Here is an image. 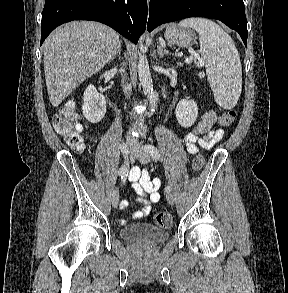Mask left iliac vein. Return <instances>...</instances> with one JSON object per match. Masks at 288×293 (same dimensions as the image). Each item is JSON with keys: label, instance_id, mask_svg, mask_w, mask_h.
<instances>
[{"label": "left iliac vein", "instance_id": "1", "mask_svg": "<svg viewBox=\"0 0 288 293\" xmlns=\"http://www.w3.org/2000/svg\"><path fill=\"white\" fill-rule=\"evenodd\" d=\"M134 156L142 163L146 164L150 161V157L147 154V152L144 151V149L141 148V146L136 143L134 145ZM166 199L169 204L173 205L175 203L174 196L169 192L166 194Z\"/></svg>", "mask_w": 288, "mask_h": 293}]
</instances>
